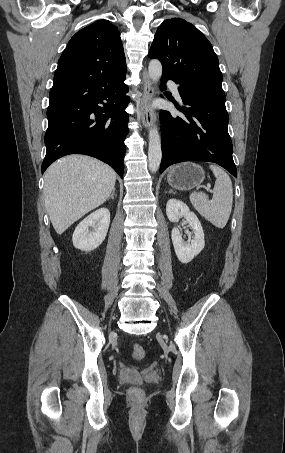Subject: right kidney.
I'll use <instances>...</instances> for the list:
<instances>
[{
    "label": "right kidney",
    "instance_id": "ca27d5eb",
    "mask_svg": "<svg viewBox=\"0 0 285 453\" xmlns=\"http://www.w3.org/2000/svg\"><path fill=\"white\" fill-rule=\"evenodd\" d=\"M110 224V212L100 208L82 220L72 236L75 248L90 252L99 247L105 240Z\"/></svg>",
    "mask_w": 285,
    "mask_h": 453
}]
</instances>
